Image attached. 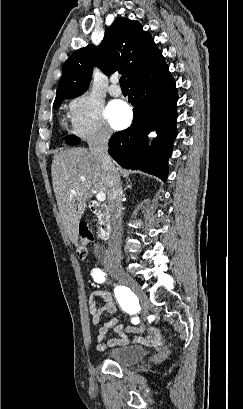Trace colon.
Returning <instances> with one entry per match:
<instances>
[{
  "instance_id": "1",
  "label": "colon",
  "mask_w": 243,
  "mask_h": 409,
  "mask_svg": "<svg viewBox=\"0 0 243 409\" xmlns=\"http://www.w3.org/2000/svg\"><path fill=\"white\" fill-rule=\"evenodd\" d=\"M79 230L82 237V243L77 248V255L79 258H84L86 254L84 243L93 239V233L87 224H81Z\"/></svg>"
}]
</instances>
